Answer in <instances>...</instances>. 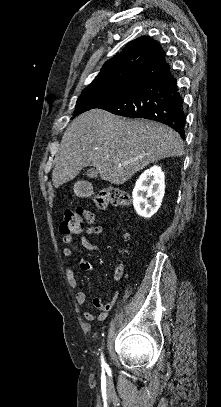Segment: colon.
I'll list each match as a JSON object with an SVG mask.
<instances>
[{
    "mask_svg": "<svg viewBox=\"0 0 221 407\" xmlns=\"http://www.w3.org/2000/svg\"><path fill=\"white\" fill-rule=\"evenodd\" d=\"M95 205L98 209L104 210L111 204L116 207H125L131 203V197L121 188L110 186L94 195ZM95 213L84 207H79L75 212L66 211L63 221L60 224V233L65 236H74L82 233L88 225L90 231H94Z\"/></svg>",
    "mask_w": 221,
    "mask_h": 407,
    "instance_id": "5ec220e1",
    "label": "colon"
}]
</instances>
